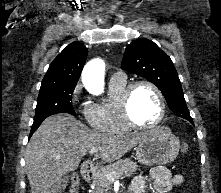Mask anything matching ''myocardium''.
<instances>
[{
	"mask_svg": "<svg viewBox=\"0 0 221 193\" xmlns=\"http://www.w3.org/2000/svg\"><path fill=\"white\" fill-rule=\"evenodd\" d=\"M142 85L150 87L156 93L159 103H160V112H159L157 119L153 123L148 124V125H144V124H140L136 122L131 113V99H132L133 92L138 86H142ZM119 103H120V110H121L122 116L125 122L131 128L140 129V130L155 129L158 126H160V124L163 122L165 115H166V101H165V97L161 89L155 83L146 79L136 80L134 82L129 83L124 88L122 95L120 97Z\"/></svg>",
	"mask_w": 221,
	"mask_h": 193,
	"instance_id": "1",
	"label": "myocardium"
}]
</instances>
